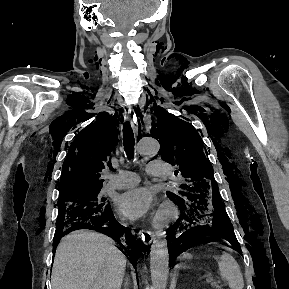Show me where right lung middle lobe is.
I'll list each match as a JSON object with an SVG mask.
<instances>
[{"mask_svg": "<svg viewBox=\"0 0 289 289\" xmlns=\"http://www.w3.org/2000/svg\"><path fill=\"white\" fill-rule=\"evenodd\" d=\"M101 189L74 192L59 197L56 234H62L80 218L106 212L109 204L100 195Z\"/></svg>", "mask_w": 289, "mask_h": 289, "instance_id": "dd1d6c3e", "label": "right lung middle lobe"}]
</instances>
